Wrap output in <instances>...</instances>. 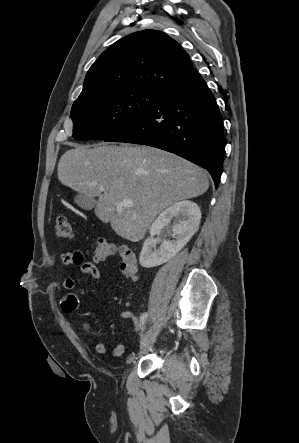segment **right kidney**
Masks as SVG:
<instances>
[{"mask_svg":"<svg viewBox=\"0 0 299 443\" xmlns=\"http://www.w3.org/2000/svg\"><path fill=\"white\" fill-rule=\"evenodd\" d=\"M200 219V208L192 201H180L166 208L150 227V236L144 241L140 253L139 262L141 266L145 268L155 267L174 257L197 232ZM172 220L173 239L158 240L154 238Z\"/></svg>","mask_w":299,"mask_h":443,"instance_id":"right-kidney-1","label":"right kidney"}]
</instances>
